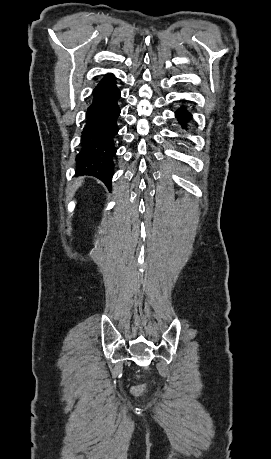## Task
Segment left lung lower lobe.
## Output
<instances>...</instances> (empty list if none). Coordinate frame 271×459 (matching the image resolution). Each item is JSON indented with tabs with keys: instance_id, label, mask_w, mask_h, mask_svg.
Returning a JSON list of instances; mask_svg holds the SVG:
<instances>
[{
	"instance_id": "0a47b994",
	"label": "left lung lower lobe",
	"mask_w": 271,
	"mask_h": 459,
	"mask_svg": "<svg viewBox=\"0 0 271 459\" xmlns=\"http://www.w3.org/2000/svg\"><path fill=\"white\" fill-rule=\"evenodd\" d=\"M176 117L183 128H185V124L191 118V114L184 107H182L176 111Z\"/></svg>"
}]
</instances>
